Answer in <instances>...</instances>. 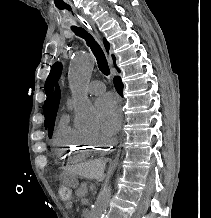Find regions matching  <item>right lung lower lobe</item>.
Wrapping results in <instances>:
<instances>
[{"mask_svg": "<svg viewBox=\"0 0 211 218\" xmlns=\"http://www.w3.org/2000/svg\"><path fill=\"white\" fill-rule=\"evenodd\" d=\"M118 71H119V69H118ZM113 82H114V85H115L117 92L122 96L123 84L121 82L120 77H115Z\"/></svg>", "mask_w": 211, "mask_h": 218, "instance_id": "98d812e1", "label": "right lung lower lobe"}]
</instances>
